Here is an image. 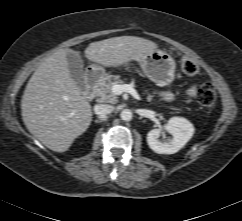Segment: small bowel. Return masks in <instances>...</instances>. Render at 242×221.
Returning <instances> with one entry per match:
<instances>
[{
	"label": "small bowel",
	"instance_id": "c3829d8e",
	"mask_svg": "<svg viewBox=\"0 0 242 221\" xmlns=\"http://www.w3.org/2000/svg\"><path fill=\"white\" fill-rule=\"evenodd\" d=\"M196 92V86L192 85L189 90H188V98L191 99ZM159 96L164 99V100H171L173 95L170 92H166V91H161L159 92Z\"/></svg>",
	"mask_w": 242,
	"mask_h": 221
}]
</instances>
